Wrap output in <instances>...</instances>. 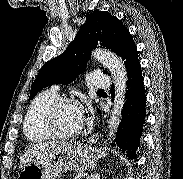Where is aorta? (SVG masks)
I'll list each match as a JSON object with an SVG mask.
<instances>
[{
  "label": "aorta",
  "mask_w": 183,
  "mask_h": 179,
  "mask_svg": "<svg viewBox=\"0 0 183 179\" xmlns=\"http://www.w3.org/2000/svg\"><path fill=\"white\" fill-rule=\"evenodd\" d=\"M92 57L101 62L113 75L115 81V99L109 120V137H113L119 127L127 89V73L122 60L113 52L96 49Z\"/></svg>",
  "instance_id": "1"
}]
</instances>
